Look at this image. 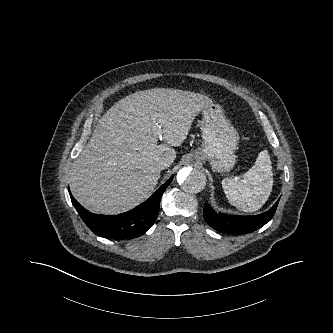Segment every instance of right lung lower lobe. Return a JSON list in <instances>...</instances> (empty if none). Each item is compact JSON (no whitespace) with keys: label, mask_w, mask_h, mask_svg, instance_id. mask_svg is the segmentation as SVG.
Listing matches in <instances>:
<instances>
[{"label":"right lung lower lobe","mask_w":333,"mask_h":333,"mask_svg":"<svg viewBox=\"0 0 333 333\" xmlns=\"http://www.w3.org/2000/svg\"><path fill=\"white\" fill-rule=\"evenodd\" d=\"M173 177L164 183L148 200L136 208L119 215L93 214L81 206L71 192L72 204L82 220L96 235L110 239H132L144 234L155 222L160 200Z\"/></svg>","instance_id":"1"}]
</instances>
